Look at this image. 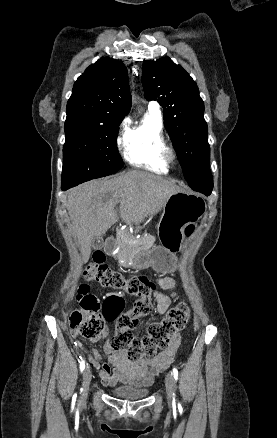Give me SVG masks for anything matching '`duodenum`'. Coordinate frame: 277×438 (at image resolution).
I'll return each instance as SVG.
<instances>
[{
  "label": "duodenum",
  "instance_id": "duodenum-1",
  "mask_svg": "<svg viewBox=\"0 0 277 438\" xmlns=\"http://www.w3.org/2000/svg\"><path fill=\"white\" fill-rule=\"evenodd\" d=\"M117 248V243L114 239H107L104 245V249L107 254H114L115 250Z\"/></svg>",
  "mask_w": 277,
  "mask_h": 438
}]
</instances>
